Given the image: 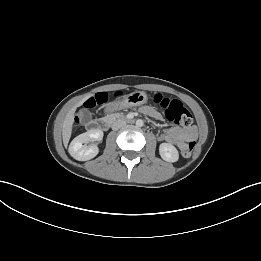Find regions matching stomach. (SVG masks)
Here are the masks:
<instances>
[{"label":"stomach","mask_w":261,"mask_h":261,"mask_svg":"<svg viewBox=\"0 0 261 261\" xmlns=\"http://www.w3.org/2000/svg\"><path fill=\"white\" fill-rule=\"evenodd\" d=\"M147 95L144 92L136 91L121 100L114 101L106 107L107 112L117 111L122 108H131L143 105L147 102Z\"/></svg>","instance_id":"0dacf381"}]
</instances>
